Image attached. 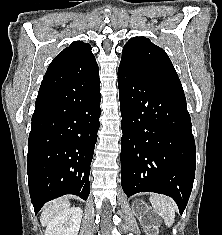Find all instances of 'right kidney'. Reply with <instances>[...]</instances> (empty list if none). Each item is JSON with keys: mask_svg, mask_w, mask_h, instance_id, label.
Here are the masks:
<instances>
[{"mask_svg": "<svg viewBox=\"0 0 222 235\" xmlns=\"http://www.w3.org/2000/svg\"><path fill=\"white\" fill-rule=\"evenodd\" d=\"M82 213L77 207L57 215L47 225L45 235H78Z\"/></svg>", "mask_w": 222, "mask_h": 235, "instance_id": "right-kidney-1", "label": "right kidney"}]
</instances>
